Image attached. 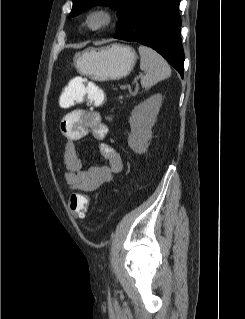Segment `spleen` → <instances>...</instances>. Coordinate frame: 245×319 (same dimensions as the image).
<instances>
[{"mask_svg":"<svg viewBox=\"0 0 245 319\" xmlns=\"http://www.w3.org/2000/svg\"><path fill=\"white\" fill-rule=\"evenodd\" d=\"M140 69L145 71L141 78V85L148 89L171 76V69L167 61L150 47L140 45Z\"/></svg>","mask_w":245,"mask_h":319,"instance_id":"1","label":"spleen"}]
</instances>
